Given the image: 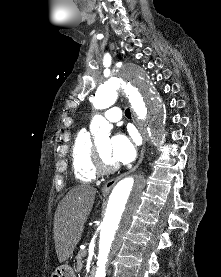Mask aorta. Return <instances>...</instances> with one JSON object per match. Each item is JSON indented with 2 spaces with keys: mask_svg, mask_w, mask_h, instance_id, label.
<instances>
[{
  "mask_svg": "<svg viewBox=\"0 0 221 277\" xmlns=\"http://www.w3.org/2000/svg\"><path fill=\"white\" fill-rule=\"evenodd\" d=\"M120 94L128 97L138 119L145 122L148 133L157 142H163L167 138L165 106L142 68L125 66L102 83L96 91L93 105L97 109L109 108ZM110 130L111 125L104 117H93L90 131L95 138L107 136ZM143 186V179L135 177H126L114 186L100 225L95 277L106 276V266L120 248L140 206Z\"/></svg>",
  "mask_w": 221,
  "mask_h": 277,
  "instance_id": "obj_1",
  "label": "aorta"
}]
</instances>
